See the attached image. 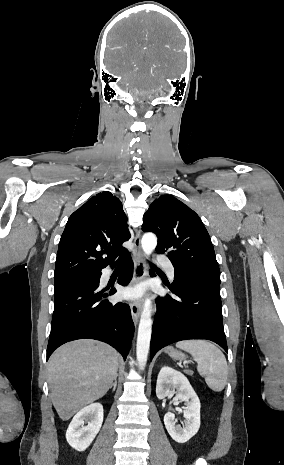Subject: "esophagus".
Segmentation results:
<instances>
[{
	"instance_id": "34e87169",
	"label": "esophagus",
	"mask_w": 284,
	"mask_h": 465,
	"mask_svg": "<svg viewBox=\"0 0 284 465\" xmlns=\"http://www.w3.org/2000/svg\"><path fill=\"white\" fill-rule=\"evenodd\" d=\"M134 248L136 251V257L134 258V273H133V278H132L133 284L143 280L146 276V266H145L143 253L141 250L139 231L136 233V236L134 238ZM130 309H131L134 325L136 326L139 316L142 311V300L130 302Z\"/></svg>"
}]
</instances>
